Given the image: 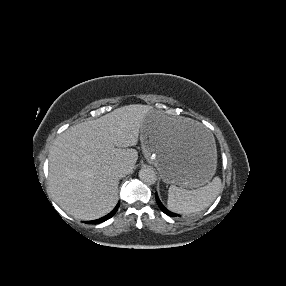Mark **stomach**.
<instances>
[{"label":"stomach","mask_w":286,"mask_h":286,"mask_svg":"<svg viewBox=\"0 0 286 286\" xmlns=\"http://www.w3.org/2000/svg\"><path fill=\"white\" fill-rule=\"evenodd\" d=\"M145 158L167 184L193 189L209 183L216 172L217 150L201 122L150 113L140 128Z\"/></svg>","instance_id":"0dacf381"}]
</instances>
